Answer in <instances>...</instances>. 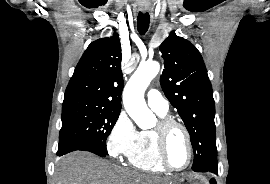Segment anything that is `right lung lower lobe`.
Listing matches in <instances>:
<instances>
[{
  "mask_svg": "<svg viewBox=\"0 0 270 184\" xmlns=\"http://www.w3.org/2000/svg\"><path fill=\"white\" fill-rule=\"evenodd\" d=\"M75 150L89 151L101 157L107 156L106 154L101 153L99 150H97L93 146L86 145V144H73L70 146H66L62 150H58L57 155L62 156L63 154H66L68 152L75 151Z\"/></svg>",
  "mask_w": 270,
  "mask_h": 184,
  "instance_id": "98d812e1",
  "label": "right lung lower lobe"
}]
</instances>
